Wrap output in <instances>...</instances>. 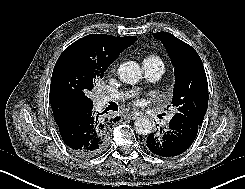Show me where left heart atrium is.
<instances>
[{
  "label": "left heart atrium",
  "instance_id": "1",
  "mask_svg": "<svg viewBox=\"0 0 245 189\" xmlns=\"http://www.w3.org/2000/svg\"><path fill=\"white\" fill-rule=\"evenodd\" d=\"M133 103H134V105H141V104H143V100L138 95H136L134 97Z\"/></svg>",
  "mask_w": 245,
  "mask_h": 189
}]
</instances>
